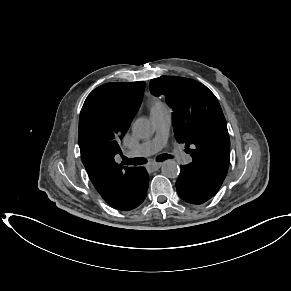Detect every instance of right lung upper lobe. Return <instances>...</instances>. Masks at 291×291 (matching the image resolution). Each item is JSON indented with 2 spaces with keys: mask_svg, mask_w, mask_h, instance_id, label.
<instances>
[{
  "mask_svg": "<svg viewBox=\"0 0 291 291\" xmlns=\"http://www.w3.org/2000/svg\"><path fill=\"white\" fill-rule=\"evenodd\" d=\"M145 83H106L86 98L79 118L78 142L82 162L93 185L109 205L128 196L134 168L118 165V144L138 111Z\"/></svg>",
  "mask_w": 291,
  "mask_h": 291,
  "instance_id": "cb5924a9",
  "label": "right lung upper lobe"
}]
</instances>
